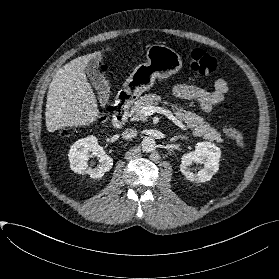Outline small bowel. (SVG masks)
<instances>
[{
  "instance_id": "obj_1",
  "label": "small bowel",
  "mask_w": 279,
  "mask_h": 279,
  "mask_svg": "<svg viewBox=\"0 0 279 279\" xmlns=\"http://www.w3.org/2000/svg\"><path fill=\"white\" fill-rule=\"evenodd\" d=\"M228 91V83L224 79L216 80L214 89L211 92L185 84L176 85L173 88V94L176 97L184 99L196 98L200 103L201 109L207 113L211 112L216 105L224 101Z\"/></svg>"
}]
</instances>
